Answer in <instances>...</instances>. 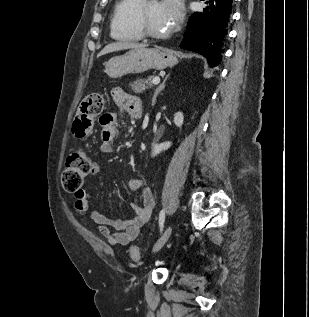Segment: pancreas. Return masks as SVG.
<instances>
[{"label": "pancreas", "instance_id": "pancreas-1", "mask_svg": "<svg viewBox=\"0 0 309 317\" xmlns=\"http://www.w3.org/2000/svg\"><path fill=\"white\" fill-rule=\"evenodd\" d=\"M154 76H149L147 79H137L136 81L132 82L129 84V86L131 87V90L135 93H142L144 92L146 89L151 88L152 85V80H153Z\"/></svg>", "mask_w": 309, "mask_h": 317}]
</instances>
